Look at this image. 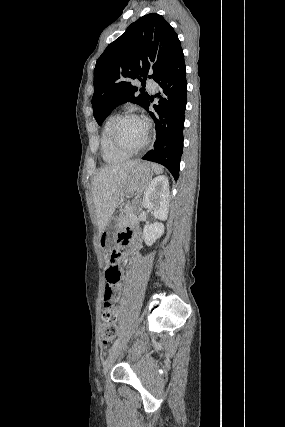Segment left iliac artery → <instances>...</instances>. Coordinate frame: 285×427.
Masks as SVG:
<instances>
[{
    "label": "left iliac artery",
    "instance_id": "left-iliac-artery-1",
    "mask_svg": "<svg viewBox=\"0 0 285 427\" xmlns=\"http://www.w3.org/2000/svg\"><path fill=\"white\" fill-rule=\"evenodd\" d=\"M119 343H120V339L118 338V339L114 342L113 346L110 348L109 352H111V351H112L116 346H118V345H119Z\"/></svg>",
    "mask_w": 285,
    "mask_h": 427
}]
</instances>
